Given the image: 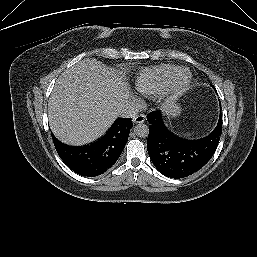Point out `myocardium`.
Instances as JSON below:
<instances>
[{
  "instance_id": "myocardium-1",
  "label": "myocardium",
  "mask_w": 257,
  "mask_h": 257,
  "mask_svg": "<svg viewBox=\"0 0 257 257\" xmlns=\"http://www.w3.org/2000/svg\"><path fill=\"white\" fill-rule=\"evenodd\" d=\"M183 76L182 82H177L178 78ZM192 81L190 71L185 68H178L167 78L161 92L158 94L159 99L172 100L180 97L189 88Z\"/></svg>"
}]
</instances>
